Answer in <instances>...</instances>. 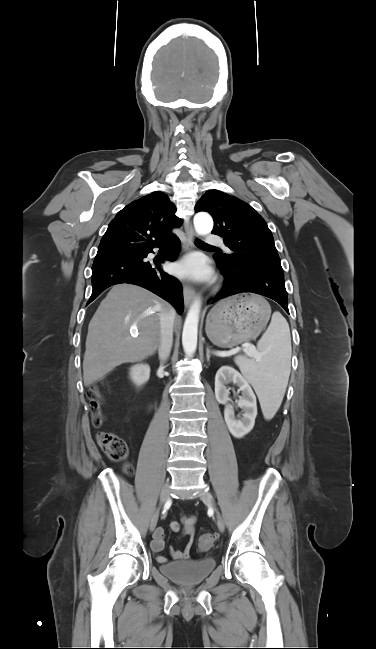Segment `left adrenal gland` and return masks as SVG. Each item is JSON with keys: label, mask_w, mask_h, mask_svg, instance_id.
<instances>
[{"label": "left adrenal gland", "mask_w": 376, "mask_h": 649, "mask_svg": "<svg viewBox=\"0 0 376 649\" xmlns=\"http://www.w3.org/2000/svg\"><path fill=\"white\" fill-rule=\"evenodd\" d=\"M210 356H211V355H210L209 348H207V350H206V358H207V362L210 361Z\"/></svg>", "instance_id": "a2214340"}]
</instances>
